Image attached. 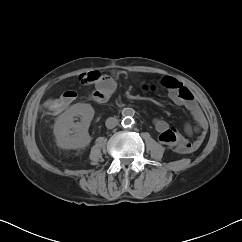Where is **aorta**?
Here are the masks:
<instances>
[{
	"label": "aorta",
	"instance_id": "1",
	"mask_svg": "<svg viewBox=\"0 0 242 242\" xmlns=\"http://www.w3.org/2000/svg\"><path fill=\"white\" fill-rule=\"evenodd\" d=\"M135 114L134 109L132 108H125L122 111V115H123V120H122V126L127 128L130 127L133 123H134V119L133 116Z\"/></svg>",
	"mask_w": 242,
	"mask_h": 242
}]
</instances>
